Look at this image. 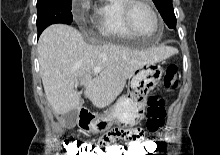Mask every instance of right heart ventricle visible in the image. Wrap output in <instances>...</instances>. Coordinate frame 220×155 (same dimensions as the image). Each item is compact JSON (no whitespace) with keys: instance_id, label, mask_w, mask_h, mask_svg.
I'll use <instances>...</instances> for the list:
<instances>
[{"instance_id":"1","label":"right heart ventricle","mask_w":220,"mask_h":155,"mask_svg":"<svg viewBox=\"0 0 220 155\" xmlns=\"http://www.w3.org/2000/svg\"><path fill=\"white\" fill-rule=\"evenodd\" d=\"M125 0H99L94 10L97 33L107 40L133 38L123 19Z\"/></svg>"}]
</instances>
